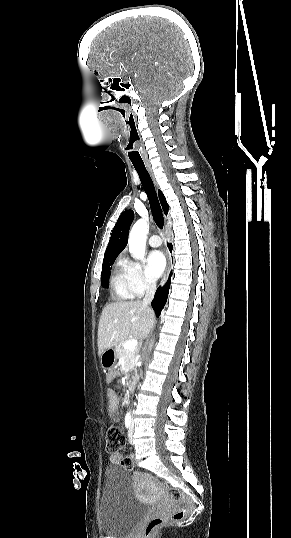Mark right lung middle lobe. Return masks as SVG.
Instances as JSON below:
<instances>
[{"label":"right lung middle lobe","mask_w":291,"mask_h":538,"mask_svg":"<svg viewBox=\"0 0 291 538\" xmlns=\"http://www.w3.org/2000/svg\"><path fill=\"white\" fill-rule=\"evenodd\" d=\"M115 259H110L108 261H104L102 265V273H101V284L103 287L108 288V280L110 276V270L111 265L113 264Z\"/></svg>","instance_id":"1"}]
</instances>
